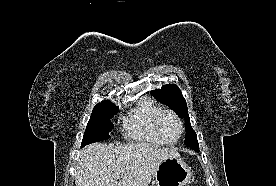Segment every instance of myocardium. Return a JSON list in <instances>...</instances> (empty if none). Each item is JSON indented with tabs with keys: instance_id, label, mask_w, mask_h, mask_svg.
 Segmentation results:
<instances>
[{
	"instance_id": "obj_1",
	"label": "myocardium",
	"mask_w": 276,
	"mask_h": 186,
	"mask_svg": "<svg viewBox=\"0 0 276 186\" xmlns=\"http://www.w3.org/2000/svg\"><path fill=\"white\" fill-rule=\"evenodd\" d=\"M166 116H171L172 118H174L180 128V134L176 140H173V141L168 140L162 131L161 122H162V119ZM155 131H156L157 135L159 136V138L163 142H165L166 144L172 145V144H176L182 138L183 133H184V125H183L181 118L178 116V114L176 112H174L173 110H169V109H163L156 117Z\"/></svg>"
}]
</instances>
